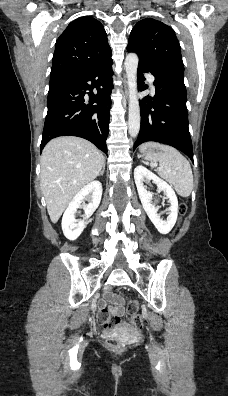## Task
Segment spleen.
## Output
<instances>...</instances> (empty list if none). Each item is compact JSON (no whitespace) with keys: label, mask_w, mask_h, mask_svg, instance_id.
Here are the masks:
<instances>
[{"label":"spleen","mask_w":228,"mask_h":396,"mask_svg":"<svg viewBox=\"0 0 228 396\" xmlns=\"http://www.w3.org/2000/svg\"><path fill=\"white\" fill-rule=\"evenodd\" d=\"M155 148L163 152L158 156L148 155L145 159L152 163V168L159 162V168L155 169L159 176L172 184L180 196L188 197L193 190V174L187 159L178 150L156 142H146L139 150L144 152Z\"/></svg>","instance_id":"3e777b00"}]
</instances>
